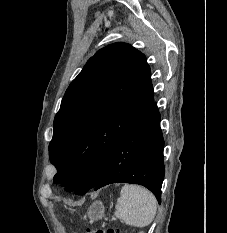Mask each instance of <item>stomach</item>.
<instances>
[{
	"label": "stomach",
	"instance_id": "stomach-1",
	"mask_svg": "<svg viewBox=\"0 0 227 233\" xmlns=\"http://www.w3.org/2000/svg\"><path fill=\"white\" fill-rule=\"evenodd\" d=\"M104 214V206L101 202H94L92 206L88 209L87 216L89 218V222L93 223L102 219Z\"/></svg>",
	"mask_w": 227,
	"mask_h": 233
}]
</instances>
